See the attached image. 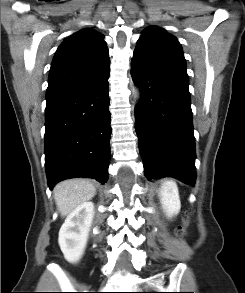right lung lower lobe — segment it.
I'll use <instances>...</instances> for the list:
<instances>
[{
  "mask_svg": "<svg viewBox=\"0 0 245 293\" xmlns=\"http://www.w3.org/2000/svg\"><path fill=\"white\" fill-rule=\"evenodd\" d=\"M109 72L47 102L45 166L52 189L68 178H91L104 184L110 159Z\"/></svg>",
  "mask_w": 245,
  "mask_h": 293,
  "instance_id": "98d812e1",
  "label": "right lung lower lobe"
}]
</instances>
